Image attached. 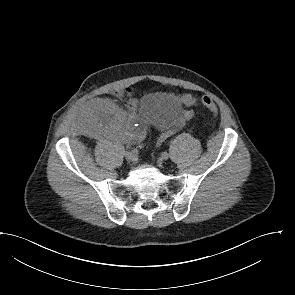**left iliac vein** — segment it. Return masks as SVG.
<instances>
[{
  "label": "left iliac vein",
  "mask_w": 295,
  "mask_h": 295,
  "mask_svg": "<svg viewBox=\"0 0 295 295\" xmlns=\"http://www.w3.org/2000/svg\"><path fill=\"white\" fill-rule=\"evenodd\" d=\"M168 154L165 156V157H160L159 159H158V164H159V166H162L163 165V162L165 161V160H167L168 159Z\"/></svg>",
  "instance_id": "1"
}]
</instances>
